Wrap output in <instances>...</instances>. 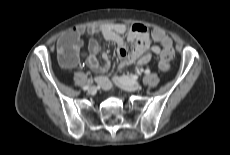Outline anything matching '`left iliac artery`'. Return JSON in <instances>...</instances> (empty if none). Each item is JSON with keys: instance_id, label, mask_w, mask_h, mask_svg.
Segmentation results:
<instances>
[{"instance_id": "44dca946", "label": "left iliac artery", "mask_w": 230, "mask_h": 155, "mask_svg": "<svg viewBox=\"0 0 230 155\" xmlns=\"http://www.w3.org/2000/svg\"><path fill=\"white\" fill-rule=\"evenodd\" d=\"M144 73H145V74H149V73H150V70H149V69H146ZM127 78H131V79L135 80V79L138 78V76H137V75H131L130 77H127Z\"/></svg>"}]
</instances>
